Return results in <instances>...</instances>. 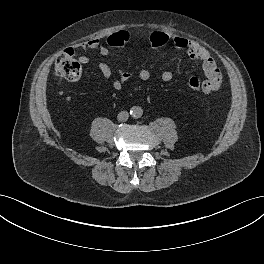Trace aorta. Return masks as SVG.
<instances>
[{"label":"aorta","mask_w":264,"mask_h":264,"mask_svg":"<svg viewBox=\"0 0 264 264\" xmlns=\"http://www.w3.org/2000/svg\"><path fill=\"white\" fill-rule=\"evenodd\" d=\"M130 114L133 118H140L143 115V110L139 106H134L130 110Z\"/></svg>","instance_id":"aorta-1"}]
</instances>
